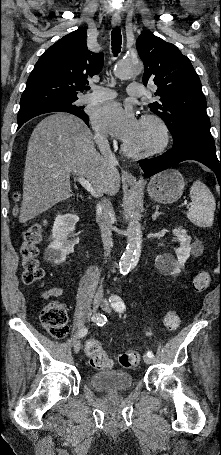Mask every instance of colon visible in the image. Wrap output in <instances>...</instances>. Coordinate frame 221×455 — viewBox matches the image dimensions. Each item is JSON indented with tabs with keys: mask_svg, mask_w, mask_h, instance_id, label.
<instances>
[{
	"mask_svg": "<svg viewBox=\"0 0 221 455\" xmlns=\"http://www.w3.org/2000/svg\"><path fill=\"white\" fill-rule=\"evenodd\" d=\"M19 198V195H15ZM44 225L35 223L22 232V243L19 248L21 267L23 269V281L26 284H35L43 281V269L39 265V244L42 240ZM208 271L198 272L191 283V288L196 293L204 292L210 284ZM40 322L49 334L56 338H64L69 330L68 315L65 306L57 301L50 302L43 307L40 313ZM163 324L168 330H177L181 324V318L176 311H169L164 315ZM85 353L92 367L108 369L112 366V360L103 350L100 342L95 338H89L85 342ZM141 361V355L137 351H127L119 356V363L124 368L136 367Z\"/></svg>",
	"mask_w": 221,
	"mask_h": 455,
	"instance_id": "colon-1",
	"label": "colon"
}]
</instances>
